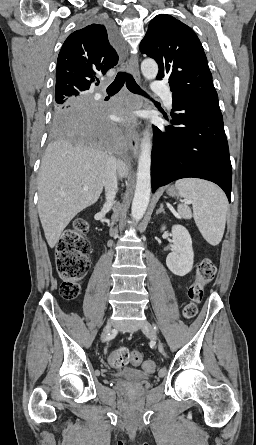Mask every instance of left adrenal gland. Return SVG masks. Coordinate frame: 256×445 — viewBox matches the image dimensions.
I'll use <instances>...</instances> for the list:
<instances>
[{
  "instance_id": "obj_1",
  "label": "left adrenal gland",
  "mask_w": 256,
  "mask_h": 445,
  "mask_svg": "<svg viewBox=\"0 0 256 445\" xmlns=\"http://www.w3.org/2000/svg\"><path fill=\"white\" fill-rule=\"evenodd\" d=\"M161 212L165 213L164 208H163V204H160V207H159V209L156 211V214H159V213H161Z\"/></svg>"
}]
</instances>
